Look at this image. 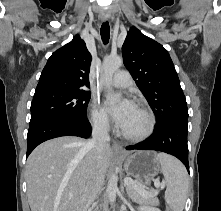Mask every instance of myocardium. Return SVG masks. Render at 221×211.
Segmentation results:
<instances>
[{
	"label": "myocardium",
	"mask_w": 221,
	"mask_h": 211,
	"mask_svg": "<svg viewBox=\"0 0 221 211\" xmlns=\"http://www.w3.org/2000/svg\"><path fill=\"white\" fill-rule=\"evenodd\" d=\"M135 106L141 109L147 116L148 123H147L146 129L144 130V132L138 135H129L123 132L122 130H120L119 135L125 140L131 141V142H141L149 138L151 134L153 133L154 128H155V116L152 110L149 107H147L145 104L141 102H136Z\"/></svg>",
	"instance_id": "myocardium-1"
}]
</instances>
